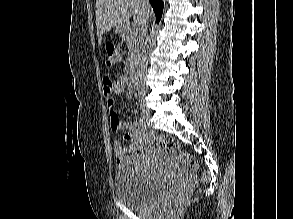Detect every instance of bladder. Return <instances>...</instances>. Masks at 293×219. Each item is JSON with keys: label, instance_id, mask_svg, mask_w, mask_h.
<instances>
[{"label": "bladder", "instance_id": "bladder-1", "mask_svg": "<svg viewBox=\"0 0 293 219\" xmlns=\"http://www.w3.org/2000/svg\"><path fill=\"white\" fill-rule=\"evenodd\" d=\"M167 156V153L161 152ZM115 194L129 207L142 208L159 197L167 186L166 180H148L133 165L120 166L114 178Z\"/></svg>", "mask_w": 293, "mask_h": 219}]
</instances>
